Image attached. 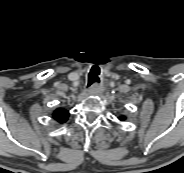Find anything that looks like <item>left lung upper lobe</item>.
Returning a JSON list of instances; mask_svg holds the SVG:
<instances>
[{
  "mask_svg": "<svg viewBox=\"0 0 184 173\" xmlns=\"http://www.w3.org/2000/svg\"><path fill=\"white\" fill-rule=\"evenodd\" d=\"M119 119H120L121 121H124V120L126 119V117H125V116H121Z\"/></svg>",
  "mask_w": 184,
  "mask_h": 173,
  "instance_id": "left-lung-upper-lobe-1",
  "label": "left lung upper lobe"
}]
</instances>
